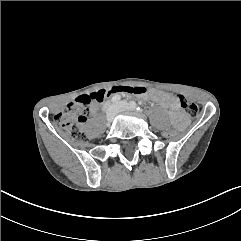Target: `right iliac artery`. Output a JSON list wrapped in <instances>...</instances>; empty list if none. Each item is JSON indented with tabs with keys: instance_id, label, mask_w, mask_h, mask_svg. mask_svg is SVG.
I'll return each instance as SVG.
<instances>
[{
	"instance_id": "obj_1",
	"label": "right iliac artery",
	"mask_w": 241,
	"mask_h": 241,
	"mask_svg": "<svg viewBox=\"0 0 241 241\" xmlns=\"http://www.w3.org/2000/svg\"><path fill=\"white\" fill-rule=\"evenodd\" d=\"M120 99H121L120 95H115V96L111 99V102H112V103H116V102H118Z\"/></svg>"
}]
</instances>
